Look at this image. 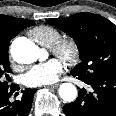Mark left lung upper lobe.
I'll use <instances>...</instances> for the list:
<instances>
[{
	"label": "left lung upper lobe",
	"mask_w": 116,
	"mask_h": 116,
	"mask_svg": "<svg viewBox=\"0 0 116 116\" xmlns=\"http://www.w3.org/2000/svg\"><path fill=\"white\" fill-rule=\"evenodd\" d=\"M46 22L71 36L81 62L71 71L82 79L116 75V25L92 13H77Z\"/></svg>",
	"instance_id": "1"
}]
</instances>
